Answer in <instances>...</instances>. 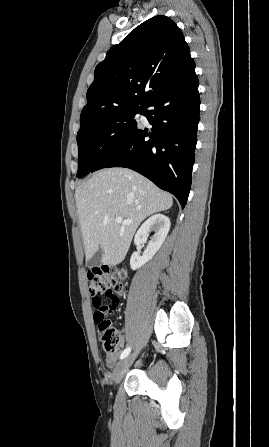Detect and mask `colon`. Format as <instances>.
<instances>
[{
	"instance_id": "obj_1",
	"label": "colon",
	"mask_w": 269,
	"mask_h": 447,
	"mask_svg": "<svg viewBox=\"0 0 269 447\" xmlns=\"http://www.w3.org/2000/svg\"><path fill=\"white\" fill-rule=\"evenodd\" d=\"M90 295L113 297L107 305L98 296L92 297L96 312L93 318L98 322V336L105 352H113L121 342V334L116 331L107 315L121 303V296L125 292L122 276L118 273H105L100 266H91L86 275Z\"/></svg>"
}]
</instances>
